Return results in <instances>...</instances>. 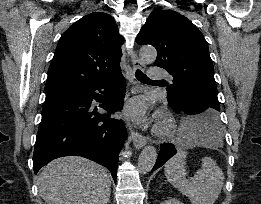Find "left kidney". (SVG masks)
I'll return each mask as SVG.
<instances>
[{
	"label": "left kidney",
	"instance_id": "left-kidney-1",
	"mask_svg": "<svg viewBox=\"0 0 261 204\" xmlns=\"http://www.w3.org/2000/svg\"><path fill=\"white\" fill-rule=\"evenodd\" d=\"M161 204H183V203L178 201L177 199L170 198V199L163 201Z\"/></svg>",
	"mask_w": 261,
	"mask_h": 204
}]
</instances>
